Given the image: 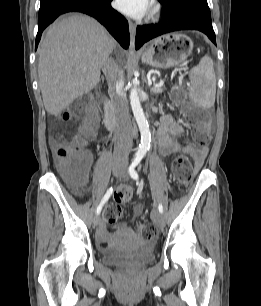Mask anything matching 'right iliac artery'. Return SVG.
Masks as SVG:
<instances>
[{
	"mask_svg": "<svg viewBox=\"0 0 261 306\" xmlns=\"http://www.w3.org/2000/svg\"><path fill=\"white\" fill-rule=\"evenodd\" d=\"M112 192H113V189H112V188H109V189L107 190L106 194L104 195V197L102 198L100 204H99L98 207H97V210H96V213H97V214H100L103 205L108 201V199L110 198Z\"/></svg>",
	"mask_w": 261,
	"mask_h": 306,
	"instance_id": "obj_1",
	"label": "right iliac artery"
}]
</instances>
